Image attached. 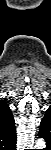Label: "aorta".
<instances>
[{
	"label": "aorta",
	"instance_id": "aorta-1",
	"mask_svg": "<svg viewBox=\"0 0 51 150\" xmlns=\"http://www.w3.org/2000/svg\"><path fill=\"white\" fill-rule=\"evenodd\" d=\"M35 146L38 148H43V147H45V141L43 139H39L38 141H36Z\"/></svg>",
	"mask_w": 51,
	"mask_h": 150
}]
</instances>
